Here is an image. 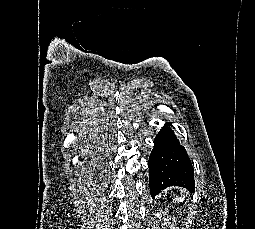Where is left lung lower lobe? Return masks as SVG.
<instances>
[{
  "label": "left lung lower lobe",
  "instance_id": "1",
  "mask_svg": "<svg viewBox=\"0 0 255 229\" xmlns=\"http://www.w3.org/2000/svg\"><path fill=\"white\" fill-rule=\"evenodd\" d=\"M149 169V186L153 198L169 186L194 191L192 163L170 127L165 126L155 137Z\"/></svg>",
  "mask_w": 255,
  "mask_h": 229
}]
</instances>
